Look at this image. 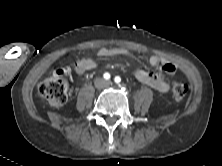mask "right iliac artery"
<instances>
[{"mask_svg":"<svg viewBox=\"0 0 222 166\" xmlns=\"http://www.w3.org/2000/svg\"><path fill=\"white\" fill-rule=\"evenodd\" d=\"M105 80H109L110 79V74L108 72L104 73L103 75Z\"/></svg>","mask_w":222,"mask_h":166,"instance_id":"obj_1","label":"right iliac artery"}]
</instances>
